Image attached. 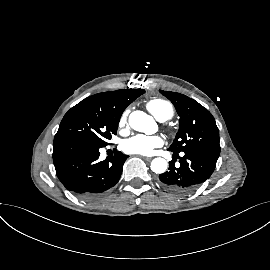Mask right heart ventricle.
<instances>
[{"label":"right heart ventricle","instance_id":"obj_1","mask_svg":"<svg viewBox=\"0 0 270 270\" xmlns=\"http://www.w3.org/2000/svg\"><path fill=\"white\" fill-rule=\"evenodd\" d=\"M146 107L148 111L160 121H166L174 114L173 106L164 99H151L147 102Z\"/></svg>","mask_w":270,"mask_h":270}]
</instances>
